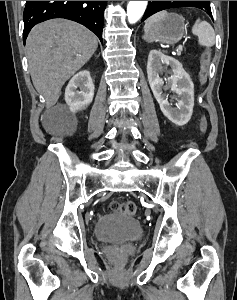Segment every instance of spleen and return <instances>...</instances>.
<instances>
[{
  "label": "spleen",
  "mask_w": 237,
  "mask_h": 300,
  "mask_svg": "<svg viewBox=\"0 0 237 300\" xmlns=\"http://www.w3.org/2000/svg\"><path fill=\"white\" fill-rule=\"evenodd\" d=\"M167 15V11H160V13H156V15L149 17L145 23L144 31H149L153 25L163 21ZM192 33L193 35H197L198 43L199 45H202V47H213V45H215L214 29L211 25H209V23H206V21H200V19H197L195 25L192 27Z\"/></svg>",
  "instance_id": "obj_1"
}]
</instances>
